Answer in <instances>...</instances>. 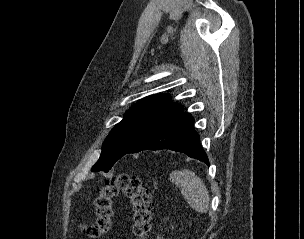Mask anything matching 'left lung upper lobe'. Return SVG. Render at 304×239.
I'll return each mask as SVG.
<instances>
[{
	"label": "left lung upper lobe",
	"mask_w": 304,
	"mask_h": 239,
	"mask_svg": "<svg viewBox=\"0 0 304 239\" xmlns=\"http://www.w3.org/2000/svg\"><path fill=\"white\" fill-rule=\"evenodd\" d=\"M183 113L166 94L148 96L134 104L108 134L92 171L108 172L115 162L153 131Z\"/></svg>",
	"instance_id": "left-lung-upper-lobe-1"
}]
</instances>
